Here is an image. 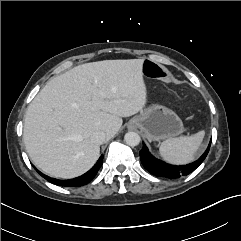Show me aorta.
I'll list each match as a JSON object with an SVG mask.
<instances>
[{
    "instance_id": "aorta-1",
    "label": "aorta",
    "mask_w": 241,
    "mask_h": 241,
    "mask_svg": "<svg viewBox=\"0 0 241 241\" xmlns=\"http://www.w3.org/2000/svg\"><path fill=\"white\" fill-rule=\"evenodd\" d=\"M124 141L129 146H137L140 143L141 138L136 132H128L124 136Z\"/></svg>"
}]
</instances>
